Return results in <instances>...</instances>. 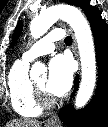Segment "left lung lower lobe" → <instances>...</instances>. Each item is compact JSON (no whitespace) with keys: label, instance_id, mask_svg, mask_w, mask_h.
Segmentation results:
<instances>
[{"label":"left lung lower lobe","instance_id":"left-lung-lower-lobe-1","mask_svg":"<svg viewBox=\"0 0 108 127\" xmlns=\"http://www.w3.org/2000/svg\"><path fill=\"white\" fill-rule=\"evenodd\" d=\"M81 7L90 22L98 62V82L94 98L82 110H74L71 105L65 106L59 114L68 127H106L108 124V27L101 18V12L88 2H82ZM78 77L75 79V90Z\"/></svg>","mask_w":108,"mask_h":127}]
</instances>
